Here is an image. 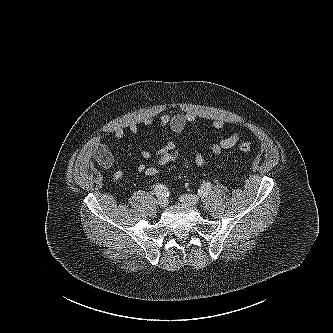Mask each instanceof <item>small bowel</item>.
<instances>
[{"label":"small bowel","mask_w":333,"mask_h":333,"mask_svg":"<svg viewBox=\"0 0 333 333\" xmlns=\"http://www.w3.org/2000/svg\"><path fill=\"white\" fill-rule=\"evenodd\" d=\"M196 121V116L192 113H177V114H168L164 113L159 118V125L162 128L163 131L166 133L170 132L175 136L181 135L186 126L188 124L194 123ZM147 124H152L151 120L147 121ZM213 129L221 135L220 140L217 143H214L211 146V152L214 155H220L224 150L230 149L236 145L240 138V134L238 132H233L229 135L223 134L224 131V121L221 119H216L212 122ZM130 131L133 134L138 133V127L137 125H131ZM125 135V130L122 127H118L114 131V138L116 140H121ZM176 148V143L172 139H167L165 144L159 148L156 152V155L159 157L162 154H165L169 151H173ZM141 156L143 159L148 160L152 157V153L149 150H143L141 152ZM93 157L96 160V162L102 166L103 168H111L114 164V157L110 149L101 142V140H98L95 143L94 149H93ZM194 162L197 167H203L206 158L204 154L196 150L194 154ZM146 165L145 164H139L137 166V171L140 173H144ZM115 179H121L124 176V173L122 170H116L113 174Z\"/></svg>","instance_id":"small-bowel-1"}]
</instances>
